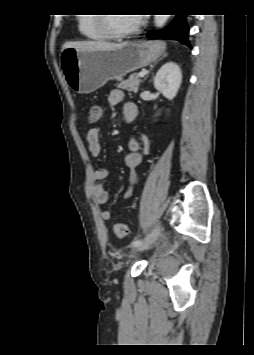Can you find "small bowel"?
Wrapping results in <instances>:
<instances>
[{
    "label": "small bowel",
    "mask_w": 254,
    "mask_h": 355,
    "mask_svg": "<svg viewBox=\"0 0 254 355\" xmlns=\"http://www.w3.org/2000/svg\"><path fill=\"white\" fill-rule=\"evenodd\" d=\"M124 92L120 89H113L109 93V103L112 105L123 104V113L127 121H133L138 113L137 106L132 102L124 103ZM100 127H92L88 130L86 141L92 156L99 157L102 153V146L100 142ZM129 153L125 156V166L129 170V187L124 192L123 198L129 199L132 196L134 185L138 182L137 169L143 162V157L150 151V143L148 138L142 134L133 135L129 142ZM109 176V170L106 168L95 167L92 170L93 185L91 188L92 196L96 204L104 205L108 201V191L100 185V182L106 180ZM112 217L109 210L101 212L103 220H110Z\"/></svg>",
    "instance_id": "small-bowel-1"
}]
</instances>
